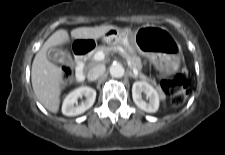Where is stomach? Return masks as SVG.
<instances>
[{"mask_svg":"<svg viewBox=\"0 0 225 155\" xmlns=\"http://www.w3.org/2000/svg\"><path fill=\"white\" fill-rule=\"evenodd\" d=\"M107 43H120L128 52H138L151 62H160L168 71L175 70L180 45L164 27L143 25L135 30L112 29L103 36Z\"/></svg>","mask_w":225,"mask_h":155,"instance_id":"stomach-1","label":"stomach"}]
</instances>
